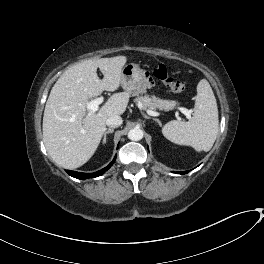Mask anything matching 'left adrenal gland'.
I'll return each instance as SVG.
<instances>
[{
  "instance_id": "left-adrenal-gland-1",
  "label": "left adrenal gland",
  "mask_w": 264,
  "mask_h": 264,
  "mask_svg": "<svg viewBox=\"0 0 264 264\" xmlns=\"http://www.w3.org/2000/svg\"><path fill=\"white\" fill-rule=\"evenodd\" d=\"M153 120L156 121L159 124V126H162V123H161V121L159 119L153 118Z\"/></svg>"
}]
</instances>
